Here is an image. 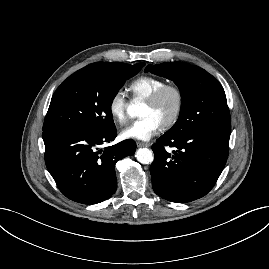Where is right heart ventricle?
<instances>
[{
	"instance_id": "1",
	"label": "right heart ventricle",
	"mask_w": 269,
	"mask_h": 269,
	"mask_svg": "<svg viewBox=\"0 0 269 269\" xmlns=\"http://www.w3.org/2000/svg\"><path fill=\"white\" fill-rule=\"evenodd\" d=\"M163 84H165V82L161 78L151 75H142L129 83L128 91L135 98L145 99Z\"/></svg>"
}]
</instances>
